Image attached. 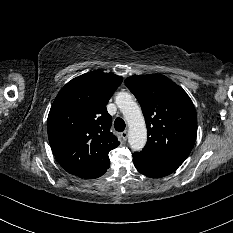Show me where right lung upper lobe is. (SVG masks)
Segmentation results:
<instances>
[{
  "mask_svg": "<svg viewBox=\"0 0 233 233\" xmlns=\"http://www.w3.org/2000/svg\"><path fill=\"white\" fill-rule=\"evenodd\" d=\"M123 78L92 71L72 79L55 98L47 121L58 163L69 173L94 179L110 166L109 151L120 142L110 132L106 105Z\"/></svg>",
  "mask_w": 233,
  "mask_h": 233,
  "instance_id": "right-lung-upper-lobe-1",
  "label": "right lung upper lobe"
}]
</instances>
